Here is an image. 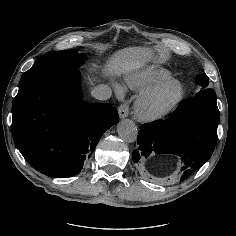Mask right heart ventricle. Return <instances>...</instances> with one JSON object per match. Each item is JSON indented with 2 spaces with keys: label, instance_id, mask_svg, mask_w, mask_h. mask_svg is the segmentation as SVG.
<instances>
[{
  "label": "right heart ventricle",
  "instance_id": "right-heart-ventricle-1",
  "mask_svg": "<svg viewBox=\"0 0 236 236\" xmlns=\"http://www.w3.org/2000/svg\"><path fill=\"white\" fill-rule=\"evenodd\" d=\"M172 77V73L162 67L146 65L131 71L125 78V86L138 93L157 83L171 80Z\"/></svg>",
  "mask_w": 236,
  "mask_h": 236
}]
</instances>
